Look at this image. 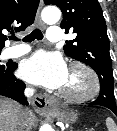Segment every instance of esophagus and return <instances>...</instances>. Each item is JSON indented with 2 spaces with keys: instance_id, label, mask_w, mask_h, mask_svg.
Here are the masks:
<instances>
[{
  "instance_id": "esophagus-1",
  "label": "esophagus",
  "mask_w": 117,
  "mask_h": 131,
  "mask_svg": "<svg viewBox=\"0 0 117 131\" xmlns=\"http://www.w3.org/2000/svg\"><path fill=\"white\" fill-rule=\"evenodd\" d=\"M43 4V0H40L36 13V22L42 29H45V24L41 19V10L43 8ZM32 105L37 113L47 114L53 110L54 99L47 94H40L34 97L32 100Z\"/></svg>"
}]
</instances>
